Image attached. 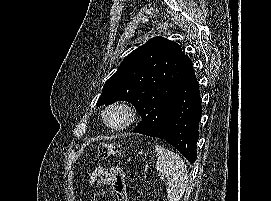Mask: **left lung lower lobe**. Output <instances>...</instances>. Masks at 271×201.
Here are the masks:
<instances>
[{
  "label": "left lung lower lobe",
  "mask_w": 271,
  "mask_h": 201,
  "mask_svg": "<svg viewBox=\"0 0 271 201\" xmlns=\"http://www.w3.org/2000/svg\"><path fill=\"white\" fill-rule=\"evenodd\" d=\"M201 113L199 85L192 62L187 56L183 80L167 108L162 131L155 137L166 140L190 163H194ZM133 132L143 134L144 128L138 124Z\"/></svg>",
  "instance_id": "obj_1"
}]
</instances>
